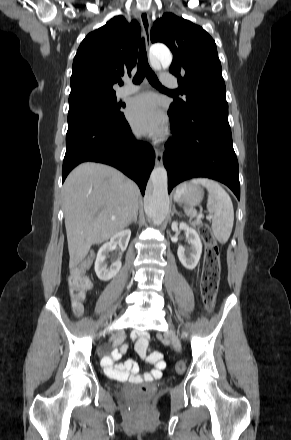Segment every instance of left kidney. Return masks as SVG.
Wrapping results in <instances>:
<instances>
[{
    "mask_svg": "<svg viewBox=\"0 0 291 440\" xmlns=\"http://www.w3.org/2000/svg\"><path fill=\"white\" fill-rule=\"evenodd\" d=\"M172 230L175 232H177L178 230L185 231L187 241L190 245V250L186 251L184 247L179 246L177 250V255L180 262L185 268L189 270L194 269L197 266L202 253V243L197 231L192 227H189V225H187L186 223L180 222L178 224L177 221H174L172 223Z\"/></svg>",
    "mask_w": 291,
    "mask_h": 440,
    "instance_id": "obj_1",
    "label": "left kidney"
}]
</instances>
